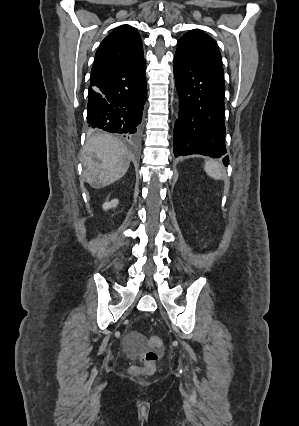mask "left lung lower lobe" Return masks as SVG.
Masks as SVG:
<instances>
[{"label": "left lung lower lobe", "mask_w": 299, "mask_h": 426, "mask_svg": "<svg viewBox=\"0 0 299 426\" xmlns=\"http://www.w3.org/2000/svg\"><path fill=\"white\" fill-rule=\"evenodd\" d=\"M174 74L180 101L174 128L176 157L202 154L220 158L226 154L224 124V79L203 60L177 49ZM229 164L228 156L223 159Z\"/></svg>", "instance_id": "0a47b994"}]
</instances>
